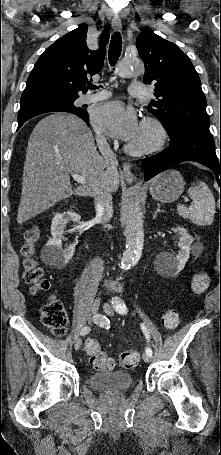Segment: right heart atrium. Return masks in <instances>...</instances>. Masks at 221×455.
Returning a JSON list of instances; mask_svg holds the SVG:
<instances>
[{"label":"right heart atrium","mask_w":221,"mask_h":455,"mask_svg":"<svg viewBox=\"0 0 221 455\" xmlns=\"http://www.w3.org/2000/svg\"><path fill=\"white\" fill-rule=\"evenodd\" d=\"M98 138H99V140H100L101 142H104V141H105V138H104L103 136H101V135H99Z\"/></svg>","instance_id":"obj_1"}]
</instances>
